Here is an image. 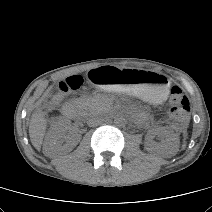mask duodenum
I'll list each match as a JSON object with an SVG mask.
<instances>
[{"label":"duodenum","instance_id":"obj_1","mask_svg":"<svg viewBox=\"0 0 212 212\" xmlns=\"http://www.w3.org/2000/svg\"><path fill=\"white\" fill-rule=\"evenodd\" d=\"M63 114L68 118H74L76 115L74 106L71 104L65 105L63 108Z\"/></svg>","mask_w":212,"mask_h":212}]
</instances>
